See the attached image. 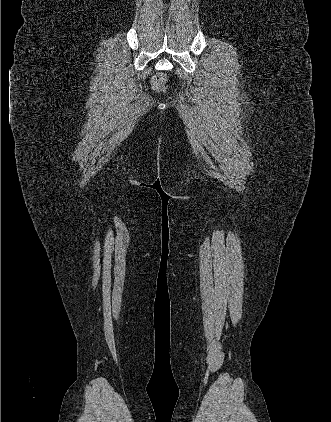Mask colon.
Listing matches in <instances>:
<instances>
[{
	"label": "colon",
	"mask_w": 331,
	"mask_h": 422,
	"mask_svg": "<svg viewBox=\"0 0 331 422\" xmlns=\"http://www.w3.org/2000/svg\"><path fill=\"white\" fill-rule=\"evenodd\" d=\"M166 77L163 74L156 75L152 80V86L156 91H162L165 88Z\"/></svg>",
	"instance_id": "1"
}]
</instances>
